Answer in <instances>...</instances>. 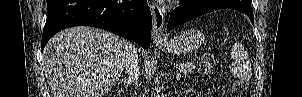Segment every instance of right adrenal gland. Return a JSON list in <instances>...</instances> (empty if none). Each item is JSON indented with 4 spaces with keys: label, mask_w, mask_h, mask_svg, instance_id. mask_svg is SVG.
Here are the masks:
<instances>
[{
    "label": "right adrenal gland",
    "mask_w": 302,
    "mask_h": 97,
    "mask_svg": "<svg viewBox=\"0 0 302 97\" xmlns=\"http://www.w3.org/2000/svg\"><path fill=\"white\" fill-rule=\"evenodd\" d=\"M119 82H120V83H123L124 86L127 87L128 85H130L131 79H130L129 77H124V78H122V79H119Z\"/></svg>",
    "instance_id": "right-adrenal-gland-1"
}]
</instances>
